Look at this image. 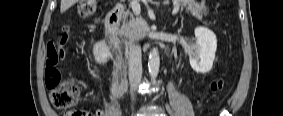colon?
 Instances as JSON below:
<instances>
[{
	"mask_svg": "<svg viewBox=\"0 0 283 116\" xmlns=\"http://www.w3.org/2000/svg\"><path fill=\"white\" fill-rule=\"evenodd\" d=\"M97 5V0H81L78 2L77 15L82 18L92 16L97 10ZM68 34V28L63 26L61 28V49L63 51ZM45 85L50 90V101L57 109H67L79 99V89L73 80L61 79L60 75L54 77L46 76ZM209 88L212 91H218L222 88V83L213 81L210 83ZM83 115H90V113L81 110L73 112V116Z\"/></svg>",
	"mask_w": 283,
	"mask_h": 116,
	"instance_id": "1",
	"label": "colon"
}]
</instances>
